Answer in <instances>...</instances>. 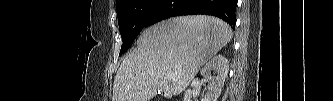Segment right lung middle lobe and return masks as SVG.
<instances>
[{"instance_id": "1", "label": "right lung middle lobe", "mask_w": 333, "mask_h": 101, "mask_svg": "<svg viewBox=\"0 0 333 101\" xmlns=\"http://www.w3.org/2000/svg\"><path fill=\"white\" fill-rule=\"evenodd\" d=\"M165 0H119L116 2L118 24L123 44L122 55L133 43L144 27L151 24L152 18Z\"/></svg>"}]
</instances>
